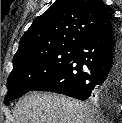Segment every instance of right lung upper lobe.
<instances>
[{
  "label": "right lung upper lobe",
  "mask_w": 122,
  "mask_h": 123,
  "mask_svg": "<svg viewBox=\"0 0 122 123\" xmlns=\"http://www.w3.org/2000/svg\"><path fill=\"white\" fill-rule=\"evenodd\" d=\"M111 20L101 0H56L22 36L13 62L51 51L77 49L93 31Z\"/></svg>",
  "instance_id": "obj_1"
}]
</instances>
